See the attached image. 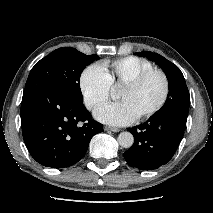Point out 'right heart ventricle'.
Segmentation results:
<instances>
[{
    "instance_id": "1",
    "label": "right heart ventricle",
    "mask_w": 213,
    "mask_h": 213,
    "mask_svg": "<svg viewBox=\"0 0 213 213\" xmlns=\"http://www.w3.org/2000/svg\"><path fill=\"white\" fill-rule=\"evenodd\" d=\"M111 86L124 84L139 73L152 69L153 65L140 57L127 56L103 64Z\"/></svg>"
}]
</instances>
